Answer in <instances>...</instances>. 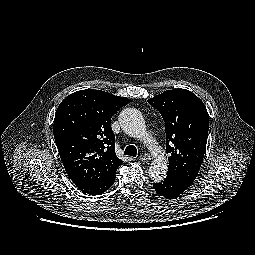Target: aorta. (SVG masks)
<instances>
[{"mask_svg": "<svg viewBox=\"0 0 255 255\" xmlns=\"http://www.w3.org/2000/svg\"><path fill=\"white\" fill-rule=\"evenodd\" d=\"M119 123L122 130L130 137L149 141L144 118L135 108H125L119 114ZM151 141V140H150ZM151 143L153 160L149 167V176L155 181L163 180L168 171V161L163 150ZM154 145V146H153Z\"/></svg>", "mask_w": 255, "mask_h": 255, "instance_id": "obj_1", "label": "aorta"}]
</instances>
